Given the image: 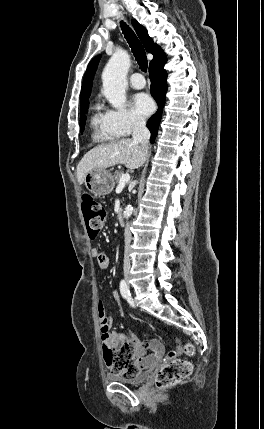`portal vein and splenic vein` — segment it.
<instances>
[{
    "instance_id": "obj_1",
    "label": "portal vein and splenic vein",
    "mask_w": 264,
    "mask_h": 429,
    "mask_svg": "<svg viewBox=\"0 0 264 429\" xmlns=\"http://www.w3.org/2000/svg\"><path fill=\"white\" fill-rule=\"evenodd\" d=\"M130 180V174L129 173H125L123 174L118 182V186L119 187H124Z\"/></svg>"
}]
</instances>
